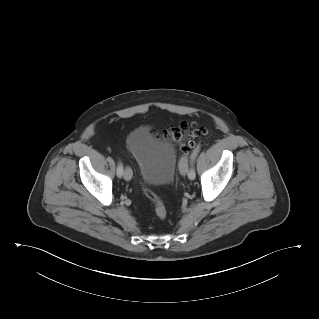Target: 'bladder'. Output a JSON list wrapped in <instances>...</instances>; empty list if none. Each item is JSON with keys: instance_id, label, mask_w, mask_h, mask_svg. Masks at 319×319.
Returning a JSON list of instances; mask_svg holds the SVG:
<instances>
[{"instance_id": "obj_1", "label": "bladder", "mask_w": 319, "mask_h": 319, "mask_svg": "<svg viewBox=\"0 0 319 319\" xmlns=\"http://www.w3.org/2000/svg\"><path fill=\"white\" fill-rule=\"evenodd\" d=\"M126 144L138 164L140 177L145 183L164 186L173 179L176 149L172 141L157 139L148 127L139 126L128 133Z\"/></svg>"}]
</instances>
